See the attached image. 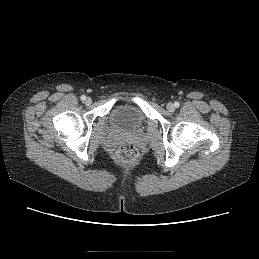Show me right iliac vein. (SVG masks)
Returning <instances> with one entry per match:
<instances>
[{"mask_svg":"<svg viewBox=\"0 0 259 259\" xmlns=\"http://www.w3.org/2000/svg\"><path fill=\"white\" fill-rule=\"evenodd\" d=\"M92 103V99L90 97L85 99V104L90 105Z\"/></svg>","mask_w":259,"mask_h":259,"instance_id":"right-iliac-vein-1","label":"right iliac vein"}]
</instances>
